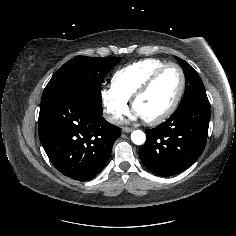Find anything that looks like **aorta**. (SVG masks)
Masks as SVG:
<instances>
[{
	"mask_svg": "<svg viewBox=\"0 0 236 236\" xmlns=\"http://www.w3.org/2000/svg\"><path fill=\"white\" fill-rule=\"evenodd\" d=\"M131 140L134 144L136 145H142L146 141V135L143 131L141 130H134L131 133Z\"/></svg>",
	"mask_w": 236,
	"mask_h": 236,
	"instance_id": "762f6f07",
	"label": "aorta"
}]
</instances>
